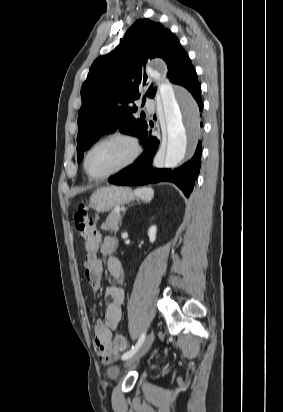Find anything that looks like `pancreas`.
Here are the masks:
<instances>
[{"instance_id":"obj_1","label":"pancreas","mask_w":283,"mask_h":412,"mask_svg":"<svg viewBox=\"0 0 283 412\" xmlns=\"http://www.w3.org/2000/svg\"><path fill=\"white\" fill-rule=\"evenodd\" d=\"M121 215L120 213H117L115 211H112L106 221L101 225V229L102 230H111L114 233H117V231L119 230V224L121 225Z\"/></svg>"}]
</instances>
